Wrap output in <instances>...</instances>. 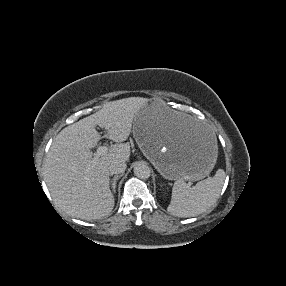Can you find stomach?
Listing matches in <instances>:
<instances>
[{"instance_id": "1", "label": "stomach", "mask_w": 286, "mask_h": 286, "mask_svg": "<svg viewBox=\"0 0 286 286\" xmlns=\"http://www.w3.org/2000/svg\"><path fill=\"white\" fill-rule=\"evenodd\" d=\"M133 135L142 153L169 180H201L217 160L214 128L161 102L147 100L140 108Z\"/></svg>"}]
</instances>
